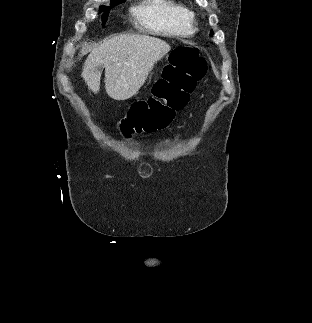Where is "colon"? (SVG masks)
<instances>
[{
	"mask_svg": "<svg viewBox=\"0 0 312 323\" xmlns=\"http://www.w3.org/2000/svg\"><path fill=\"white\" fill-rule=\"evenodd\" d=\"M207 68L204 59L194 47H179L172 51L164 69V78H158L156 96L134 102L118 126L126 135L158 132L174 121V110L181 109Z\"/></svg>",
	"mask_w": 312,
	"mask_h": 323,
	"instance_id": "obj_1",
	"label": "colon"
}]
</instances>
